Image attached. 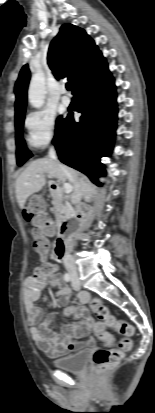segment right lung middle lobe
<instances>
[{
	"label": "right lung middle lobe",
	"instance_id": "obj_1",
	"mask_svg": "<svg viewBox=\"0 0 155 413\" xmlns=\"http://www.w3.org/2000/svg\"><path fill=\"white\" fill-rule=\"evenodd\" d=\"M64 119L62 117H59L56 122V130H55V135L58 133V131L61 129L62 125L64 124ZM15 127H16V158H17V164L21 166L22 164L25 163L29 158L32 157L31 152L26 148L25 141L22 137V132H23V123H24V118L18 120L15 122Z\"/></svg>",
	"mask_w": 155,
	"mask_h": 413
}]
</instances>
